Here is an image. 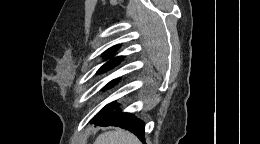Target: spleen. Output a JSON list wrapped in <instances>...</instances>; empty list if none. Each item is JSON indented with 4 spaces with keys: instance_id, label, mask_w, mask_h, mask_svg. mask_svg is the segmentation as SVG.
Wrapping results in <instances>:
<instances>
[{
    "instance_id": "3e777b00",
    "label": "spleen",
    "mask_w": 260,
    "mask_h": 144,
    "mask_svg": "<svg viewBox=\"0 0 260 144\" xmlns=\"http://www.w3.org/2000/svg\"><path fill=\"white\" fill-rule=\"evenodd\" d=\"M94 144H140V141L132 133L117 129L100 134Z\"/></svg>"
}]
</instances>
